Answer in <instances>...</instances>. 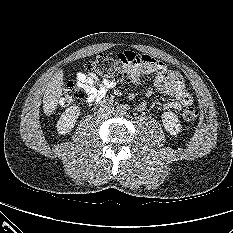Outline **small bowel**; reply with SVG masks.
Masks as SVG:
<instances>
[{"label":"small bowel","mask_w":233,"mask_h":233,"mask_svg":"<svg viewBox=\"0 0 233 233\" xmlns=\"http://www.w3.org/2000/svg\"><path fill=\"white\" fill-rule=\"evenodd\" d=\"M123 59L135 61L134 73L140 78L143 74L155 73V87L164 95L174 98L165 103L166 110H181L183 107L192 104L193 99L188 93L182 76L171 69L166 64L149 55H140L133 52H124L119 55ZM77 85L86 93L88 103L97 104L101 102L108 91L115 87V82L106 78L100 79L93 73L79 72L76 75ZM145 107L144 104L138 106L139 110Z\"/></svg>","instance_id":"obj_1"}]
</instances>
